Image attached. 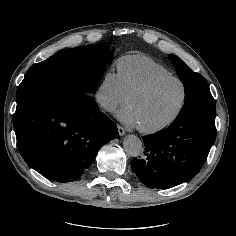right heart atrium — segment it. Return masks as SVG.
Wrapping results in <instances>:
<instances>
[{"label":"right heart atrium","instance_id":"right-heart-atrium-1","mask_svg":"<svg viewBox=\"0 0 236 236\" xmlns=\"http://www.w3.org/2000/svg\"><path fill=\"white\" fill-rule=\"evenodd\" d=\"M128 97L119 74L113 70L104 73L94 91L95 101L106 112H113L117 107L124 105Z\"/></svg>","mask_w":236,"mask_h":236}]
</instances>
